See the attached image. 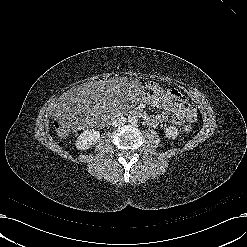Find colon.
Wrapping results in <instances>:
<instances>
[{
  "instance_id": "colon-1",
  "label": "colon",
  "mask_w": 247,
  "mask_h": 247,
  "mask_svg": "<svg viewBox=\"0 0 247 247\" xmlns=\"http://www.w3.org/2000/svg\"><path fill=\"white\" fill-rule=\"evenodd\" d=\"M147 94L153 100L160 101L164 98L165 91L159 85L152 84L148 87ZM70 116H71V114H65L62 116V118L54 121V129L59 136L67 135V133L69 131L68 125H67V120L69 119ZM192 128H193L192 124L189 123V124L184 126L183 131L184 132H190L192 130Z\"/></svg>"
}]
</instances>
